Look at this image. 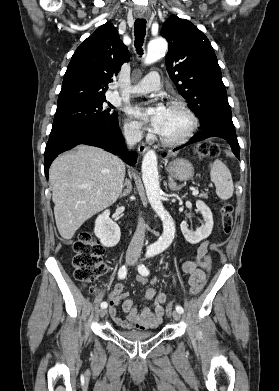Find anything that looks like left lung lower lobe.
<instances>
[{"label": "left lung lower lobe", "instance_id": "left-lung-lower-lobe-1", "mask_svg": "<svg viewBox=\"0 0 279 391\" xmlns=\"http://www.w3.org/2000/svg\"><path fill=\"white\" fill-rule=\"evenodd\" d=\"M209 137H220V138L225 139L230 144L235 156L238 159H240V156H239L240 148H239V144L237 141L235 130H229V129L219 127V126H209L205 129H203L201 132L196 133L190 139V141L188 143H186L185 145H182L180 148H182L188 144H192V143L204 140ZM177 149H179V148L174 149V151ZM165 155L166 154H163V156H165Z\"/></svg>", "mask_w": 279, "mask_h": 391}]
</instances>
